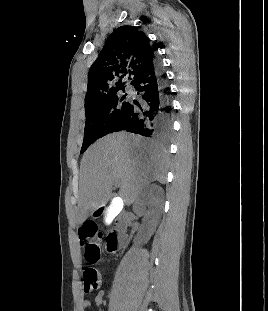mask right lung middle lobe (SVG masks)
Returning <instances> with one entry per match:
<instances>
[{"instance_id": "dd1d6c3e", "label": "right lung middle lobe", "mask_w": 268, "mask_h": 311, "mask_svg": "<svg viewBox=\"0 0 268 311\" xmlns=\"http://www.w3.org/2000/svg\"><path fill=\"white\" fill-rule=\"evenodd\" d=\"M122 91L125 92V88ZM125 97L116 91L85 110L86 123L81 153L93 142L111 132L128 103L124 101Z\"/></svg>"}]
</instances>
